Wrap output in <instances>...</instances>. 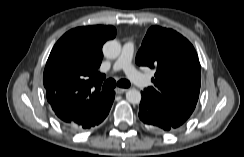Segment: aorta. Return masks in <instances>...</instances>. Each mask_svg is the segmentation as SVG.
I'll list each match as a JSON object with an SVG mask.
<instances>
[{"label":"aorta","instance_id":"obj_1","mask_svg":"<svg viewBox=\"0 0 244 157\" xmlns=\"http://www.w3.org/2000/svg\"><path fill=\"white\" fill-rule=\"evenodd\" d=\"M121 53V44L117 40L107 41L103 46V54L106 58L115 59ZM126 99L132 104H138L141 101V93L137 89H129L126 92Z\"/></svg>","mask_w":244,"mask_h":157}]
</instances>
